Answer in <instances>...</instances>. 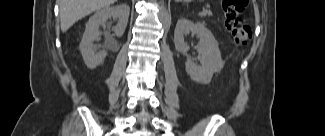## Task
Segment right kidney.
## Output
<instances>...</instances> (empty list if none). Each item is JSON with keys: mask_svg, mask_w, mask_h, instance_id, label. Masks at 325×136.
<instances>
[{"mask_svg": "<svg viewBox=\"0 0 325 136\" xmlns=\"http://www.w3.org/2000/svg\"><path fill=\"white\" fill-rule=\"evenodd\" d=\"M129 13L130 8L125 4H120L113 7H104L89 18L80 43L83 60L89 69H95L102 64L107 55L105 50H98L93 45V42L98 39L99 27L104 25L112 17L113 21L117 23L112 28L114 35L121 37L128 23Z\"/></svg>", "mask_w": 325, "mask_h": 136, "instance_id": "ca27d5eb", "label": "right kidney"}]
</instances>
